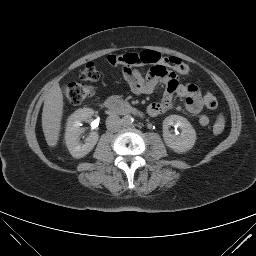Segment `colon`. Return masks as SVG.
<instances>
[{"label": "colon", "instance_id": "5ec220e1", "mask_svg": "<svg viewBox=\"0 0 256 256\" xmlns=\"http://www.w3.org/2000/svg\"><path fill=\"white\" fill-rule=\"evenodd\" d=\"M107 62L111 66L123 68L165 62L170 68L180 74H188L190 72L189 66L181 59L177 57L162 58L158 52L152 50H145L140 53L109 55ZM80 77L83 81H96L99 78V71L94 63L89 62L82 70ZM63 91L68 101L74 105L84 103L94 95V88L92 86L80 82L65 84ZM202 102L204 106L209 109H214L218 105L216 96L211 92L204 94ZM224 129L225 118L219 115L213 125V130L215 133L219 134L222 133Z\"/></svg>", "mask_w": 256, "mask_h": 256}]
</instances>
